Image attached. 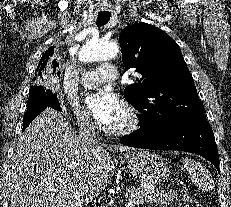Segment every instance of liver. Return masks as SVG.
<instances>
[{"mask_svg": "<svg viewBox=\"0 0 231 207\" xmlns=\"http://www.w3.org/2000/svg\"><path fill=\"white\" fill-rule=\"evenodd\" d=\"M114 168L106 149L84 150L64 114L47 108L20 135L11 158V207H81L105 189Z\"/></svg>", "mask_w": 231, "mask_h": 207, "instance_id": "1", "label": "liver"}]
</instances>
